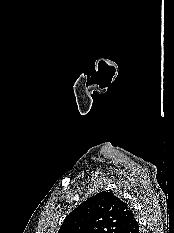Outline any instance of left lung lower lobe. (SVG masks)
Returning <instances> with one entry per match:
<instances>
[{"instance_id": "left-lung-lower-lobe-1", "label": "left lung lower lobe", "mask_w": 174, "mask_h": 233, "mask_svg": "<svg viewBox=\"0 0 174 233\" xmlns=\"http://www.w3.org/2000/svg\"><path fill=\"white\" fill-rule=\"evenodd\" d=\"M121 233H139V224L136 219H134L130 224H128Z\"/></svg>"}]
</instances>
